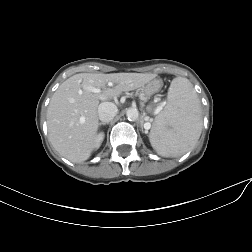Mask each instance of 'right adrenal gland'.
I'll return each instance as SVG.
<instances>
[{
    "instance_id": "obj_1",
    "label": "right adrenal gland",
    "mask_w": 252,
    "mask_h": 252,
    "mask_svg": "<svg viewBox=\"0 0 252 252\" xmlns=\"http://www.w3.org/2000/svg\"><path fill=\"white\" fill-rule=\"evenodd\" d=\"M107 124H109V123L100 122V123H99V126H102V125H107Z\"/></svg>"
}]
</instances>
